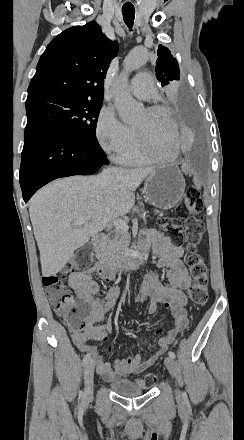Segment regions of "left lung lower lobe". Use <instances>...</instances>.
<instances>
[{"instance_id":"0a47b994","label":"left lung lower lobe","mask_w":244,"mask_h":440,"mask_svg":"<svg viewBox=\"0 0 244 440\" xmlns=\"http://www.w3.org/2000/svg\"><path fill=\"white\" fill-rule=\"evenodd\" d=\"M182 108L184 110V112H186L187 114H190V107L188 103H182Z\"/></svg>"}]
</instances>
